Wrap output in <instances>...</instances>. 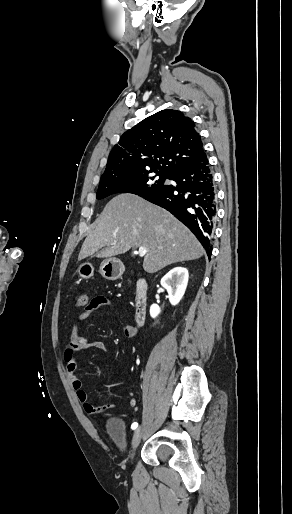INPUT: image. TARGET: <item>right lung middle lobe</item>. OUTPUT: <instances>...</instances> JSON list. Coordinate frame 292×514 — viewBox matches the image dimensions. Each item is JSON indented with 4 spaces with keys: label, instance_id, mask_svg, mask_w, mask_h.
I'll return each instance as SVG.
<instances>
[{
    "label": "right lung middle lobe",
    "instance_id": "right-lung-middle-lobe-1",
    "mask_svg": "<svg viewBox=\"0 0 292 514\" xmlns=\"http://www.w3.org/2000/svg\"><path fill=\"white\" fill-rule=\"evenodd\" d=\"M156 176H159V179ZM169 177V174L152 171L100 180L97 199H103L115 193H132L143 196L161 187Z\"/></svg>",
    "mask_w": 292,
    "mask_h": 514
}]
</instances>
